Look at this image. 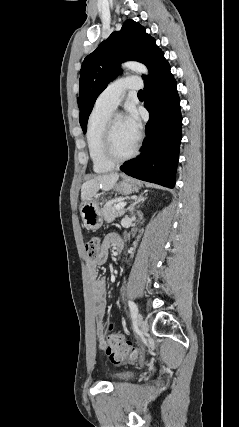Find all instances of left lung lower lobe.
<instances>
[{
    "mask_svg": "<svg viewBox=\"0 0 239 427\" xmlns=\"http://www.w3.org/2000/svg\"><path fill=\"white\" fill-rule=\"evenodd\" d=\"M144 90V106L150 114L146 138L141 154L125 162L121 170L134 178L174 188L182 116L177 83L167 61L144 81Z\"/></svg>",
    "mask_w": 239,
    "mask_h": 427,
    "instance_id": "left-lung-lower-lobe-1",
    "label": "left lung lower lobe"
}]
</instances>
